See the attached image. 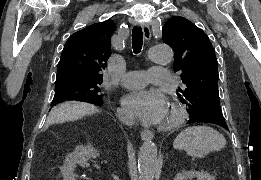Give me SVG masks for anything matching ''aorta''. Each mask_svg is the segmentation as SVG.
I'll return each instance as SVG.
<instances>
[{
	"instance_id": "aorta-1",
	"label": "aorta",
	"mask_w": 261,
	"mask_h": 180,
	"mask_svg": "<svg viewBox=\"0 0 261 180\" xmlns=\"http://www.w3.org/2000/svg\"><path fill=\"white\" fill-rule=\"evenodd\" d=\"M174 53L167 45H157L149 49L148 57L158 64L169 63ZM157 164V148L153 142H144L138 153V170L140 180H153Z\"/></svg>"
}]
</instances>
